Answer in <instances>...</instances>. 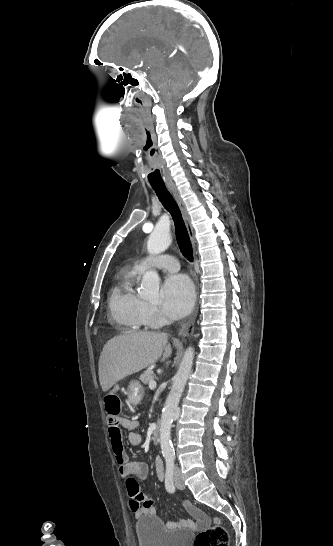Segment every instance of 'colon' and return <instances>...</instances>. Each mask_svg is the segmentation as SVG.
<instances>
[{"instance_id":"colon-1","label":"colon","mask_w":333,"mask_h":546,"mask_svg":"<svg viewBox=\"0 0 333 546\" xmlns=\"http://www.w3.org/2000/svg\"><path fill=\"white\" fill-rule=\"evenodd\" d=\"M105 407L109 418H118L121 411L120 397L110 393L105 397ZM229 536L227 530L218 519L207 529L199 532L195 538L194 546H228Z\"/></svg>"}]
</instances>
